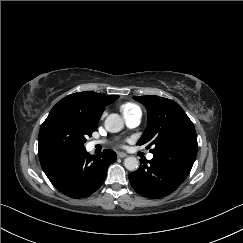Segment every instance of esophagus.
Instances as JSON below:
<instances>
[{
	"label": "esophagus",
	"mask_w": 243,
	"mask_h": 243,
	"mask_svg": "<svg viewBox=\"0 0 243 243\" xmlns=\"http://www.w3.org/2000/svg\"><path fill=\"white\" fill-rule=\"evenodd\" d=\"M128 155L126 154V153H123V152H118L117 153V157L118 158H125V157H127Z\"/></svg>",
	"instance_id": "esophagus-1"
}]
</instances>
